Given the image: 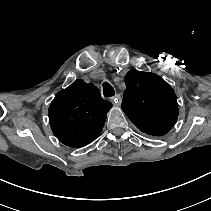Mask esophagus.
<instances>
[{
	"mask_svg": "<svg viewBox=\"0 0 211 211\" xmlns=\"http://www.w3.org/2000/svg\"><path fill=\"white\" fill-rule=\"evenodd\" d=\"M111 102L116 105V106H120L121 105V102H122V99H121V96L119 94L115 95L112 99H111Z\"/></svg>",
	"mask_w": 211,
	"mask_h": 211,
	"instance_id": "1",
	"label": "esophagus"
}]
</instances>
